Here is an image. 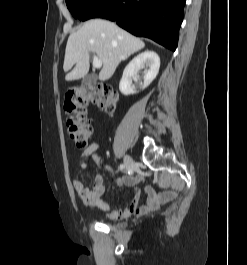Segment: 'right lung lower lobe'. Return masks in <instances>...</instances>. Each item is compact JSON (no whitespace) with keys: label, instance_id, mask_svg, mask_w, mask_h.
Listing matches in <instances>:
<instances>
[{"label":"right lung lower lobe","instance_id":"98d812e1","mask_svg":"<svg viewBox=\"0 0 247 265\" xmlns=\"http://www.w3.org/2000/svg\"><path fill=\"white\" fill-rule=\"evenodd\" d=\"M186 0H101L81 20L106 18L175 51Z\"/></svg>","mask_w":247,"mask_h":265}]
</instances>
